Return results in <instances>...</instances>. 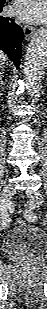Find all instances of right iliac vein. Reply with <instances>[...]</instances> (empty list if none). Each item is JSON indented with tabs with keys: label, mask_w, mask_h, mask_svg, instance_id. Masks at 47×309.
Returning <instances> with one entry per match:
<instances>
[{
	"label": "right iliac vein",
	"mask_w": 47,
	"mask_h": 309,
	"mask_svg": "<svg viewBox=\"0 0 47 309\" xmlns=\"http://www.w3.org/2000/svg\"><path fill=\"white\" fill-rule=\"evenodd\" d=\"M14 194H15L14 187L11 184L6 185L1 192V205L6 206ZM9 222L10 221H7L6 224L4 225L2 223L3 229H7L9 227Z\"/></svg>",
	"instance_id": "right-iliac-vein-1"
}]
</instances>
